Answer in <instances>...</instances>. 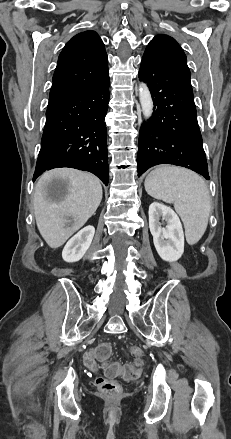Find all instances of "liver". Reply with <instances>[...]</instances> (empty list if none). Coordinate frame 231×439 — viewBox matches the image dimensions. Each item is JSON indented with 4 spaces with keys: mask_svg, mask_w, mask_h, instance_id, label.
Returning a JSON list of instances; mask_svg holds the SVG:
<instances>
[{
    "mask_svg": "<svg viewBox=\"0 0 231 439\" xmlns=\"http://www.w3.org/2000/svg\"><path fill=\"white\" fill-rule=\"evenodd\" d=\"M54 179L66 182L55 196L49 189ZM102 200V186L94 175L70 168L46 171L34 191V214L38 230L51 248L62 246L95 213Z\"/></svg>",
    "mask_w": 231,
    "mask_h": 439,
    "instance_id": "1",
    "label": "liver"
}]
</instances>
